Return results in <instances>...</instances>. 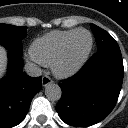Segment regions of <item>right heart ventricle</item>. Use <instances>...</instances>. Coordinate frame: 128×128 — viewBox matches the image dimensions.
Wrapping results in <instances>:
<instances>
[{
    "instance_id": "obj_1",
    "label": "right heart ventricle",
    "mask_w": 128,
    "mask_h": 128,
    "mask_svg": "<svg viewBox=\"0 0 128 128\" xmlns=\"http://www.w3.org/2000/svg\"><path fill=\"white\" fill-rule=\"evenodd\" d=\"M76 30H56L36 38L31 45V55L38 63L52 66L64 44Z\"/></svg>"
}]
</instances>
